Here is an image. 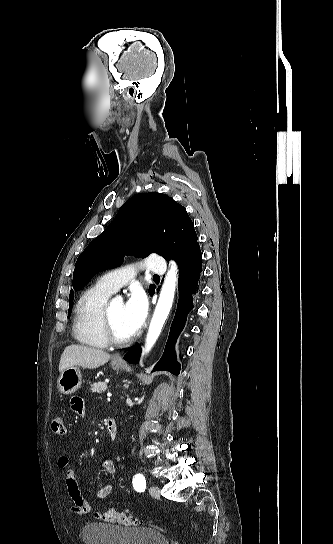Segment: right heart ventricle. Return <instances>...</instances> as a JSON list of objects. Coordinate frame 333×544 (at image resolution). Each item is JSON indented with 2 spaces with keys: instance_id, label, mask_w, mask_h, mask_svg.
<instances>
[{
  "instance_id": "1",
  "label": "right heart ventricle",
  "mask_w": 333,
  "mask_h": 544,
  "mask_svg": "<svg viewBox=\"0 0 333 544\" xmlns=\"http://www.w3.org/2000/svg\"><path fill=\"white\" fill-rule=\"evenodd\" d=\"M112 293L100 282L83 292L77 301L73 322V334L78 342L94 348L108 346L109 342L103 330L102 314Z\"/></svg>"
}]
</instances>
